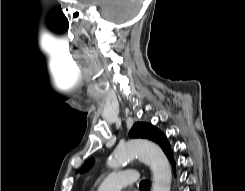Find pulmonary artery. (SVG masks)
<instances>
[{"mask_svg":"<svg viewBox=\"0 0 245 191\" xmlns=\"http://www.w3.org/2000/svg\"><path fill=\"white\" fill-rule=\"evenodd\" d=\"M137 174L132 169L118 171L107 176L98 186L97 191H121L134 184Z\"/></svg>","mask_w":245,"mask_h":191,"instance_id":"1","label":"pulmonary artery"}]
</instances>
